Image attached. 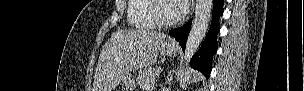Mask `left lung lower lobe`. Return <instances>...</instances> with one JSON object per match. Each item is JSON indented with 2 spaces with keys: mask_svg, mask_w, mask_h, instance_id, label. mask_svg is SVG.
<instances>
[{
  "mask_svg": "<svg viewBox=\"0 0 304 91\" xmlns=\"http://www.w3.org/2000/svg\"><path fill=\"white\" fill-rule=\"evenodd\" d=\"M223 13V0H214L213 15L210 29L206 35V39L200 50L192 57L191 66L199 70L206 78H209L212 70V59L217 51V34L220 30L219 17ZM191 22L187 23L182 28L170 31L171 36H175L177 41H180L182 49L185 50L186 41L190 32Z\"/></svg>",
  "mask_w": 304,
  "mask_h": 91,
  "instance_id": "left-lung-lower-lobe-1",
  "label": "left lung lower lobe"
}]
</instances>
